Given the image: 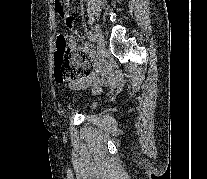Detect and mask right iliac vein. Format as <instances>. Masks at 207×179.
<instances>
[{"label":"right iliac vein","instance_id":"right-iliac-vein-1","mask_svg":"<svg viewBox=\"0 0 207 179\" xmlns=\"http://www.w3.org/2000/svg\"><path fill=\"white\" fill-rule=\"evenodd\" d=\"M94 36H95L96 42L98 44V55L103 60V55H104V52H105V44H104V40H103L102 31L97 26L95 27V34H94ZM87 85H89V83Z\"/></svg>","mask_w":207,"mask_h":179}]
</instances>
